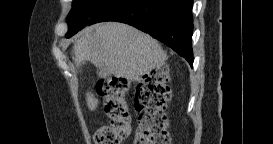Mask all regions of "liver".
I'll return each mask as SVG.
<instances>
[{
	"instance_id": "1",
	"label": "liver",
	"mask_w": 273,
	"mask_h": 144,
	"mask_svg": "<svg viewBox=\"0 0 273 144\" xmlns=\"http://www.w3.org/2000/svg\"><path fill=\"white\" fill-rule=\"evenodd\" d=\"M74 62L79 69L85 61L95 67L129 81H137L167 58L162 47L152 37L136 28L118 22L86 27L75 41ZM91 111L98 107L93 93H86Z\"/></svg>"
}]
</instances>
